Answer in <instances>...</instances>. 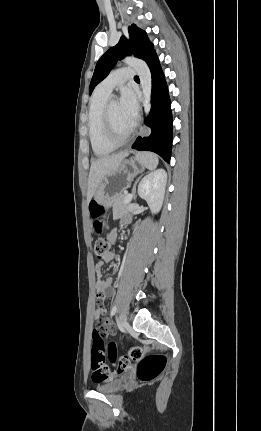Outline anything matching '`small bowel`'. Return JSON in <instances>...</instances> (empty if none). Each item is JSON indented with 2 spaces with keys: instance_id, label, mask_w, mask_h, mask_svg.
Returning <instances> with one entry per match:
<instances>
[{
  "instance_id": "small-bowel-1",
  "label": "small bowel",
  "mask_w": 261,
  "mask_h": 431,
  "mask_svg": "<svg viewBox=\"0 0 261 431\" xmlns=\"http://www.w3.org/2000/svg\"><path fill=\"white\" fill-rule=\"evenodd\" d=\"M128 220L129 219L127 217L121 218V221L124 223L128 222ZM116 240H117V232L115 230H112L107 235V241L113 244L115 243ZM113 259H114V254L109 253L106 256H104L95 266L96 276H97V281H96L97 303H96V309L94 312V318L96 320H99L101 316L106 313L107 305L104 302H106L107 298L111 297L114 292L113 279L110 277L104 278L101 272L103 265L105 263L111 262ZM96 330H97L98 336H103L104 332L108 330V324L107 323L104 324V320H101V323H99V325L96 327ZM128 346H131V343H128Z\"/></svg>"
}]
</instances>
